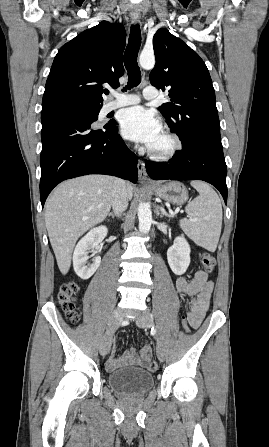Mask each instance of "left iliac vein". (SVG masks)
<instances>
[{
	"instance_id": "1",
	"label": "left iliac vein",
	"mask_w": 269,
	"mask_h": 447,
	"mask_svg": "<svg viewBox=\"0 0 269 447\" xmlns=\"http://www.w3.org/2000/svg\"><path fill=\"white\" fill-rule=\"evenodd\" d=\"M136 324L138 327H141V328L151 327V326H153V320L150 315H143L136 319ZM156 339H157V350H156L157 358L160 361H164L165 360V349H164V344L162 342L159 332L156 335Z\"/></svg>"
}]
</instances>
